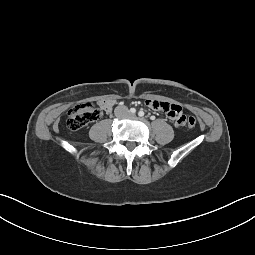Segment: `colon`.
I'll list each match as a JSON object with an SVG mask.
<instances>
[{"mask_svg": "<svg viewBox=\"0 0 255 255\" xmlns=\"http://www.w3.org/2000/svg\"><path fill=\"white\" fill-rule=\"evenodd\" d=\"M102 115L101 109L91 102L75 105L68 112L67 126L71 130H79L87 124L97 121ZM187 116V115H186ZM188 121L185 125L194 127L196 119L193 116H187Z\"/></svg>", "mask_w": 255, "mask_h": 255, "instance_id": "5ec220e1", "label": "colon"}]
</instances>
